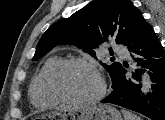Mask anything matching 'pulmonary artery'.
Wrapping results in <instances>:
<instances>
[{"label":"pulmonary artery","mask_w":165,"mask_h":120,"mask_svg":"<svg viewBox=\"0 0 165 120\" xmlns=\"http://www.w3.org/2000/svg\"><path fill=\"white\" fill-rule=\"evenodd\" d=\"M114 51L120 56L126 57L128 55V52L126 51V49L121 46H115Z\"/></svg>","instance_id":"obj_1"}]
</instances>
